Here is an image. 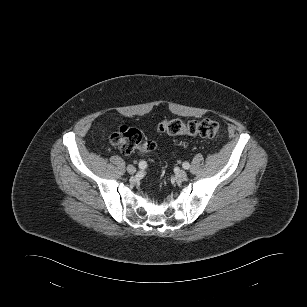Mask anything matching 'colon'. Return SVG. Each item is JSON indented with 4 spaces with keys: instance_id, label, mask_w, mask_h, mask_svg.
Listing matches in <instances>:
<instances>
[{
    "instance_id": "1",
    "label": "colon",
    "mask_w": 307,
    "mask_h": 307,
    "mask_svg": "<svg viewBox=\"0 0 307 307\" xmlns=\"http://www.w3.org/2000/svg\"><path fill=\"white\" fill-rule=\"evenodd\" d=\"M158 130L169 136L188 135L193 137L214 138L219 133V125L214 120L204 118L184 122L180 119L163 120L158 124ZM109 141L112 146L123 154L135 151L145 155L156 148V143L150 139H143L142 133L127 126H121L113 132Z\"/></svg>"
}]
</instances>
